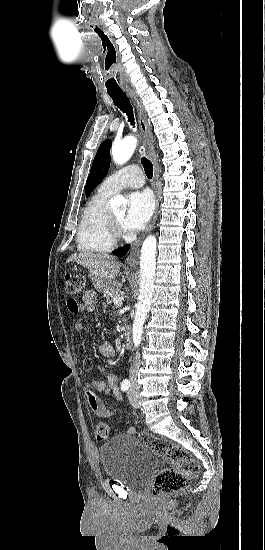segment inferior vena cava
Here are the masks:
<instances>
[{"instance_id":"obj_1","label":"inferior vena cava","mask_w":265,"mask_h":550,"mask_svg":"<svg viewBox=\"0 0 265 550\" xmlns=\"http://www.w3.org/2000/svg\"><path fill=\"white\" fill-rule=\"evenodd\" d=\"M140 363H141V360H140V354L138 352H136V355L133 359V362H132V365H131V368H130V381L131 383H135L136 382V379H137V373H138V370H139V366H140Z\"/></svg>"}]
</instances>
